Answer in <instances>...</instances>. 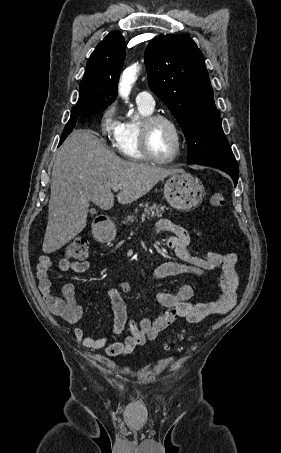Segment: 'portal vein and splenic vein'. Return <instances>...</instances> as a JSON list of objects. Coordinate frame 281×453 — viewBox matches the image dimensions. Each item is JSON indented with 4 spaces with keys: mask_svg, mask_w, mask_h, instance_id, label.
<instances>
[{
    "mask_svg": "<svg viewBox=\"0 0 281 453\" xmlns=\"http://www.w3.org/2000/svg\"><path fill=\"white\" fill-rule=\"evenodd\" d=\"M113 190H115V192H117V190H119V188H122L121 184H114V186H112Z\"/></svg>",
    "mask_w": 281,
    "mask_h": 453,
    "instance_id": "portal-vein-and-splenic-vein-1",
    "label": "portal vein and splenic vein"
}]
</instances>
